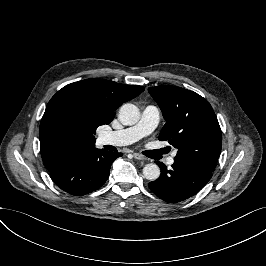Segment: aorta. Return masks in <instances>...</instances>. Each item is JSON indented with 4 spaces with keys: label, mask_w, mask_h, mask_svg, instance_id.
Listing matches in <instances>:
<instances>
[{
    "label": "aorta",
    "mask_w": 266,
    "mask_h": 266,
    "mask_svg": "<svg viewBox=\"0 0 266 266\" xmlns=\"http://www.w3.org/2000/svg\"><path fill=\"white\" fill-rule=\"evenodd\" d=\"M118 118L123 125H134L140 119L139 108L132 103L123 104L119 110ZM160 173V168L155 163L146 164L143 168V176L149 181L157 180Z\"/></svg>",
    "instance_id": "aorta-1"
}]
</instances>
